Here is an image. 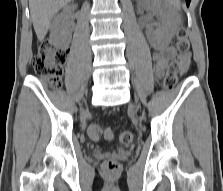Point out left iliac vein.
I'll return each mask as SVG.
<instances>
[{
    "instance_id": "1",
    "label": "left iliac vein",
    "mask_w": 223,
    "mask_h": 191,
    "mask_svg": "<svg viewBox=\"0 0 223 191\" xmlns=\"http://www.w3.org/2000/svg\"><path fill=\"white\" fill-rule=\"evenodd\" d=\"M130 108H131V109H134L135 107H134L133 105H130Z\"/></svg>"
}]
</instances>
